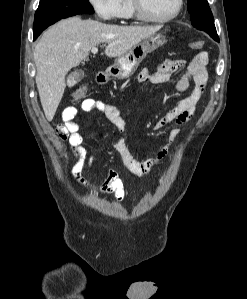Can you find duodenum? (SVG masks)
<instances>
[{
  "label": "duodenum",
  "mask_w": 247,
  "mask_h": 299,
  "mask_svg": "<svg viewBox=\"0 0 247 299\" xmlns=\"http://www.w3.org/2000/svg\"><path fill=\"white\" fill-rule=\"evenodd\" d=\"M107 72H108V70H107ZM105 76H106V74H100V76H99V80H104L105 79Z\"/></svg>",
  "instance_id": "1"
}]
</instances>
